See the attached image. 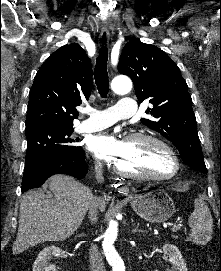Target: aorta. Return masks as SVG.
Returning <instances> with one entry per match:
<instances>
[{
	"label": "aorta",
	"mask_w": 221,
	"mask_h": 271,
	"mask_svg": "<svg viewBox=\"0 0 221 271\" xmlns=\"http://www.w3.org/2000/svg\"><path fill=\"white\" fill-rule=\"evenodd\" d=\"M111 88L116 94H127L132 89V82L128 77L118 76L112 80ZM117 235L118 224L112 221L103 234L102 247L106 260L112 267V271H125L124 262L114 247Z\"/></svg>",
	"instance_id": "aorta-1"
}]
</instances>
